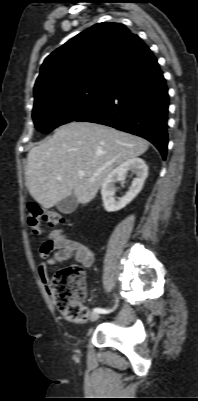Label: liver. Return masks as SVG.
<instances>
[{
  "label": "liver",
  "instance_id": "1",
  "mask_svg": "<svg viewBox=\"0 0 198 401\" xmlns=\"http://www.w3.org/2000/svg\"><path fill=\"white\" fill-rule=\"evenodd\" d=\"M148 147L145 139L105 125L70 122L29 151L26 186L45 208L72 193L79 203L87 204L117 165L142 155Z\"/></svg>",
  "mask_w": 198,
  "mask_h": 401
}]
</instances>
